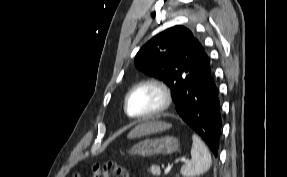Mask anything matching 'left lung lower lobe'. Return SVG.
I'll return each mask as SVG.
<instances>
[{
    "label": "left lung lower lobe",
    "mask_w": 287,
    "mask_h": 177,
    "mask_svg": "<svg viewBox=\"0 0 287 177\" xmlns=\"http://www.w3.org/2000/svg\"><path fill=\"white\" fill-rule=\"evenodd\" d=\"M176 110L217 157L222 123L220 102L210 62L183 94Z\"/></svg>",
    "instance_id": "0a47b994"
}]
</instances>
